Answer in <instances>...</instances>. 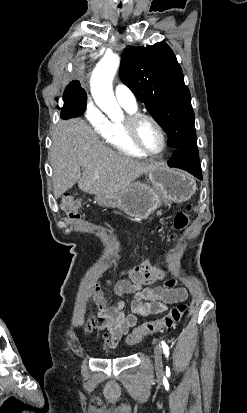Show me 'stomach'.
<instances>
[{
	"label": "stomach",
	"mask_w": 247,
	"mask_h": 413,
	"mask_svg": "<svg viewBox=\"0 0 247 413\" xmlns=\"http://www.w3.org/2000/svg\"><path fill=\"white\" fill-rule=\"evenodd\" d=\"M146 174L151 184L133 182L120 192L96 194L95 200L101 207L121 209L130 217L147 219L160 207L162 200L184 202L195 194L196 180L184 170L169 168L166 164H153Z\"/></svg>",
	"instance_id": "obj_1"
}]
</instances>
